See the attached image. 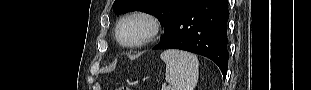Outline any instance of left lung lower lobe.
I'll return each instance as SVG.
<instances>
[{
    "instance_id": "1",
    "label": "left lung lower lobe",
    "mask_w": 311,
    "mask_h": 90,
    "mask_svg": "<svg viewBox=\"0 0 311 90\" xmlns=\"http://www.w3.org/2000/svg\"><path fill=\"white\" fill-rule=\"evenodd\" d=\"M228 0H197L183 11L157 49H181L214 61L226 77Z\"/></svg>"
}]
</instances>
